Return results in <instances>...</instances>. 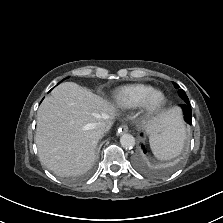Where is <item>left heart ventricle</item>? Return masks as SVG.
I'll list each match as a JSON object with an SVG mask.
<instances>
[{"mask_svg": "<svg viewBox=\"0 0 223 223\" xmlns=\"http://www.w3.org/2000/svg\"><path fill=\"white\" fill-rule=\"evenodd\" d=\"M160 99H161L160 95H159V94H156V95H154V96L152 97L151 102H152L153 104H155V103L159 102Z\"/></svg>", "mask_w": 223, "mask_h": 223, "instance_id": "1", "label": "left heart ventricle"}]
</instances>
